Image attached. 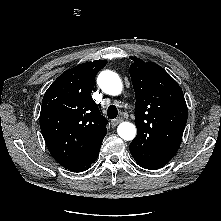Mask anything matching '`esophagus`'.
I'll return each instance as SVG.
<instances>
[{
	"mask_svg": "<svg viewBox=\"0 0 221 221\" xmlns=\"http://www.w3.org/2000/svg\"><path fill=\"white\" fill-rule=\"evenodd\" d=\"M122 121H123V118H122V117H118V118H116V119H113V120L111 121V124H112L113 127H115V126H117L119 123H121Z\"/></svg>",
	"mask_w": 221,
	"mask_h": 221,
	"instance_id": "obj_1",
	"label": "esophagus"
}]
</instances>
